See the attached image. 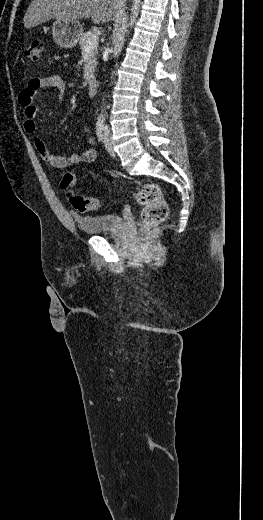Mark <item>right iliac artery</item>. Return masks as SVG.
Returning <instances> with one entry per match:
<instances>
[{"mask_svg":"<svg viewBox=\"0 0 263 520\" xmlns=\"http://www.w3.org/2000/svg\"><path fill=\"white\" fill-rule=\"evenodd\" d=\"M104 132H105V127H104L103 121H98L96 124V134H97L99 141H103Z\"/></svg>","mask_w":263,"mask_h":520,"instance_id":"obj_1","label":"right iliac artery"}]
</instances>
